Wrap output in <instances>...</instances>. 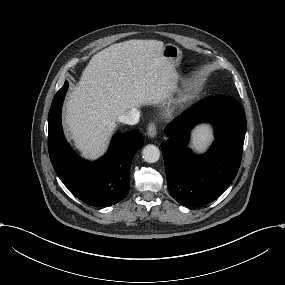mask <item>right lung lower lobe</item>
Listing matches in <instances>:
<instances>
[{
  "label": "right lung lower lobe",
  "mask_w": 285,
  "mask_h": 285,
  "mask_svg": "<svg viewBox=\"0 0 285 285\" xmlns=\"http://www.w3.org/2000/svg\"><path fill=\"white\" fill-rule=\"evenodd\" d=\"M68 82L56 93L48 117V149L52 165L63 184L81 201L99 207L122 200L130 189V166L142 137L137 129L116 134L98 163L78 157L67 144L61 125V108Z\"/></svg>",
  "instance_id": "obj_1"
}]
</instances>
